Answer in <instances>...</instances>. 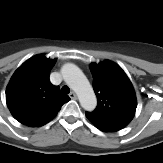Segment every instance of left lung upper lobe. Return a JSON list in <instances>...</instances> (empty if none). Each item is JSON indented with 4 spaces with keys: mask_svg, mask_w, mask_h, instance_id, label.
<instances>
[{
    "mask_svg": "<svg viewBox=\"0 0 163 163\" xmlns=\"http://www.w3.org/2000/svg\"><path fill=\"white\" fill-rule=\"evenodd\" d=\"M90 68L98 105L93 112H86V116L97 121L128 124L135 115L137 100L125 72L109 60L91 63Z\"/></svg>",
    "mask_w": 163,
    "mask_h": 163,
    "instance_id": "5c2ea615",
    "label": "left lung upper lobe"
}]
</instances>
